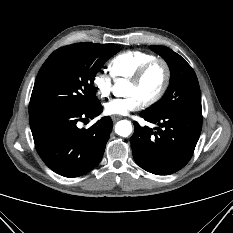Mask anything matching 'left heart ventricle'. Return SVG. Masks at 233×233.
I'll return each instance as SVG.
<instances>
[{
	"mask_svg": "<svg viewBox=\"0 0 233 233\" xmlns=\"http://www.w3.org/2000/svg\"><path fill=\"white\" fill-rule=\"evenodd\" d=\"M164 80V69L161 64L154 65L139 85L128 83L126 95L134 94L141 102L152 98L160 89Z\"/></svg>",
	"mask_w": 233,
	"mask_h": 233,
	"instance_id": "left-heart-ventricle-1",
	"label": "left heart ventricle"
}]
</instances>
